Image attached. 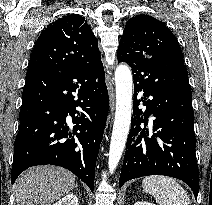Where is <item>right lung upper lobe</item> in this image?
I'll return each instance as SVG.
<instances>
[{"label": "right lung upper lobe", "mask_w": 212, "mask_h": 205, "mask_svg": "<svg viewBox=\"0 0 212 205\" xmlns=\"http://www.w3.org/2000/svg\"><path fill=\"white\" fill-rule=\"evenodd\" d=\"M98 40L84 17L66 15L49 24L31 53L26 78L76 67L102 66Z\"/></svg>", "instance_id": "right-lung-upper-lobe-1"}]
</instances>
